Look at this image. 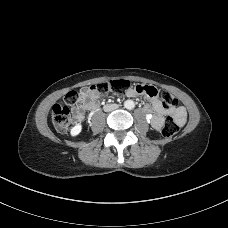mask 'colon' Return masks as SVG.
Returning <instances> with one entry per match:
<instances>
[{"label": "colon", "mask_w": 228, "mask_h": 228, "mask_svg": "<svg viewBox=\"0 0 228 228\" xmlns=\"http://www.w3.org/2000/svg\"><path fill=\"white\" fill-rule=\"evenodd\" d=\"M94 86V85H93ZM99 91L118 88V89H134L138 94L154 98L159 95L161 104L165 109H174L177 104V98L167 91L158 93V90L153 86L132 84L127 79H113L98 86H94ZM80 93L76 91L69 92L65 98L64 103H56L52 107V121L58 131L64 132L68 129L71 120V107L78 103ZM180 125L173 119L168 118L163 126L162 134L165 137H173L178 134Z\"/></svg>", "instance_id": "obj_1"}]
</instances>
